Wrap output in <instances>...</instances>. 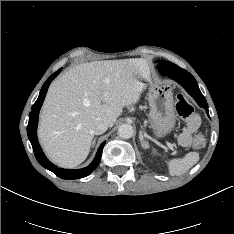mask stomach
Masks as SVG:
<instances>
[{
  "label": "stomach",
  "instance_id": "obj_1",
  "mask_svg": "<svg viewBox=\"0 0 234 234\" xmlns=\"http://www.w3.org/2000/svg\"><path fill=\"white\" fill-rule=\"evenodd\" d=\"M143 82L145 88L150 85L148 93L150 126L157 137L163 138L173 130L176 123L172 86L170 84L154 85L149 79Z\"/></svg>",
  "mask_w": 234,
  "mask_h": 234
}]
</instances>
